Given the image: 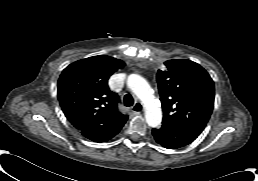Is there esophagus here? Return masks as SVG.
I'll return each instance as SVG.
<instances>
[{"label": "esophagus", "instance_id": "esophagus-1", "mask_svg": "<svg viewBox=\"0 0 258 181\" xmlns=\"http://www.w3.org/2000/svg\"><path fill=\"white\" fill-rule=\"evenodd\" d=\"M143 111V105L140 102H137L133 107H132V112L135 114H140Z\"/></svg>", "mask_w": 258, "mask_h": 181}]
</instances>
